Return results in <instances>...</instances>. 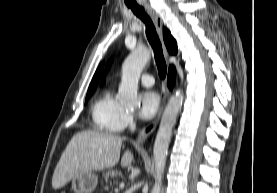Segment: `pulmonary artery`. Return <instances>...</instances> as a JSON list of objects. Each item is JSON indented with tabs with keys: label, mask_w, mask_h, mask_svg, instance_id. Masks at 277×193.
I'll return each mask as SVG.
<instances>
[{
	"label": "pulmonary artery",
	"mask_w": 277,
	"mask_h": 193,
	"mask_svg": "<svg viewBox=\"0 0 277 193\" xmlns=\"http://www.w3.org/2000/svg\"><path fill=\"white\" fill-rule=\"evenodd\" d=\"M141 83L146 87H151L154 84V78L152 75L143 74L140 78Z\"/></svg>",
	"instance_id": "pulmonary-artery-1"
}]
</instances>
